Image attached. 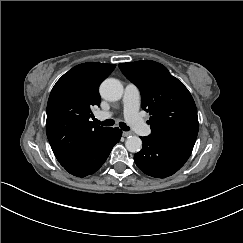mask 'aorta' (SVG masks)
Instances as JSON below:
<instances>
[{"label":"aorta","mask_w":243,"mask_h":243,"mask_svg":"<svg viewBox=\"0 0 243 243\" xmlns=\"http://www.w3.org/2000/svg\"><path fill=\"white\" fill-rule=\"evenodd\" d=\"M100 95L108 101H117L123 95V86L119 80L108 78L100 85ZM125 146L129 152L136 153L142 148V141L138 136H129L125 142Z\"/></svg>","instance_id":"762f6f07"}]
</instances>
